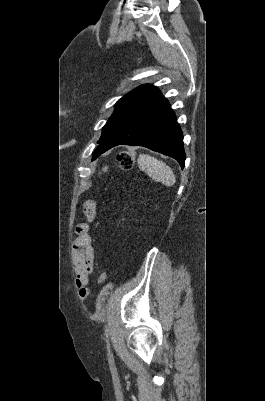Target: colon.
Here are the masks:
<instances>
[{
	"mask_svg": "<svg viewBox=\"0 0 265 401\" xmlns=\"http://www.w3.org/2000/svg\"><path fill=\"white\" fill-rule=\"evenodd\" d=\"M135 152L134 151H123L118 155V162L122 170L130 171L135 163ZM106 168L103 170L105 171ZM98 280L101 284L106 281V274L104 272L99 274Z\"/></svg>",
	"mask_w": 265,
	"mask_h": 401,
	"instance_id": "5ec220e1",
	"label": "colon"
}]
</instances>
